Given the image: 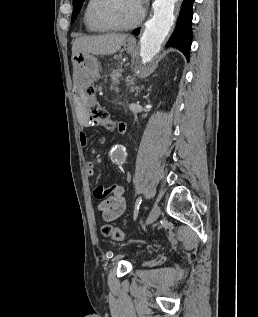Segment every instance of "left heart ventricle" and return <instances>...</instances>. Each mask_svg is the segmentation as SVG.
Returning <instances> with one entry per match:
<instances>
[{
	"mask_svg": "<svg viewBox=\"0 0 258 317\" xmlns=\"http://www.w3.org/2000/svg\"><path fill=\"white\" fill-rule=\"evenodd\" d=\"M98 15L105 22L115 26L131 27L138 18V9L128 0L113 1L102 5Z\"/></svg>",
	"mask_w": 258,
	"mask_h": 317,
	"instance_id": "1",
	"label": "left heart ventricle"
}]
</instances>
